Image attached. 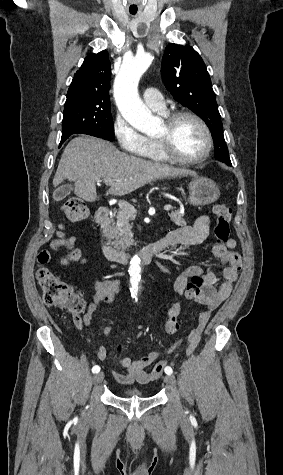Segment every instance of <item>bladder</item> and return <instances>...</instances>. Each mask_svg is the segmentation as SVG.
Segmentation results:
<instances>
[{"label":"bladder","instance_id":"bladder-1","mask_svg":"<svg viewBox=\"0 0 283 475\" xmlns=\"http://www.w3.org/2000/svg\"><path fill=\"white\" fill-rule=\"evenodd\" d=\"M123 398H141L145 399L146 394L138 388H130L122 391Z\"/></svg>","mask_w":283,"mask_h":475}]
</instances>
